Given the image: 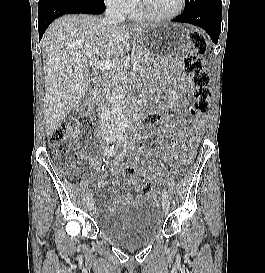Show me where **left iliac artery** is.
I'll return each instance as SVG.
<instances>
[{"instance_id":"44dca946","label":"left iliac artery","mask_w":265,"mask_h":273,"mask_svg":"<svg viewBox=\"0 0 265 273\" xmlns=\"http://www.w3.org/2000/svg\"><path fill=\"white\" fill-rule=\"evenodd\" d=\"M124 126L127 127L130 130L134 129L133 124L131 122H129V121L124 122ZM162 195H163L164 198H168L169 197V193L165 189L163 190Z\"/></svg>"}]
</instances>
